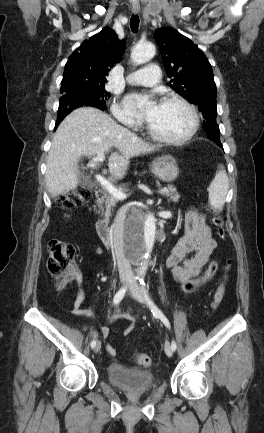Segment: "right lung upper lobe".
Segmentation results:
<instances>
[{
	"instance_id": "cb5924a9",
	"label": "right lung upper lobe",
	"mask_w": 264,
	"mask_h": 433,
	"mask_svg": "<svg viewBox=\"0 0 264 433\" xmlns=\"http://www.w3.org/2000/svg\"><path fill=\"white\" fill-rule=\"evenodd\" d=\"M125 46L109 27L85 40L65 65L61 93L104 86L109 68L119 61Z\"/></svg>"
}]
</instances>
